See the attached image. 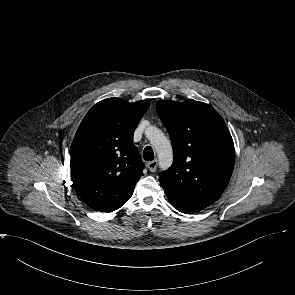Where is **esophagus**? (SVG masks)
<instances>
[{
  "label": "esophagus",
  "instance_id": "34e87169",
  "mask_svg": "<svg viewBox=\"0 0 295 295\" xmlns=\"http://www.w3.org/2000/svg\"><path fill=\"white\" fill-rule=\"evenodd\" d=\"M158 161L153 160L147 163V167L151 172H155L157 169Z\"/></svg>",
  "mask_w": 295,
  "mask_h": 295
}]
</instances>
